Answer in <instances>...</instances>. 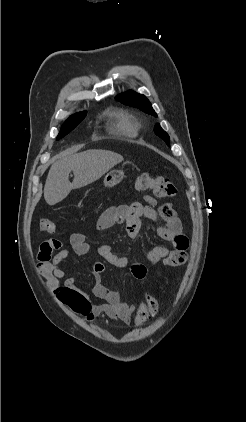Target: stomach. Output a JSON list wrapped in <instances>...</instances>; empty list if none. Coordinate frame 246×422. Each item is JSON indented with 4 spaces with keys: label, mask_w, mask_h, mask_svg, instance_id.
Listing matches in <instances>:
<instances>
[{
    "label": "stomach",
    "mask_w": 246,
    "mask_h": 422,
    "mask_svg": "<svg viewBox=\"0 0 246 422\" xmlns=\"http://www.w3.org/2000/svg\"><path fill=\"white\" fill-rule=\"evenodd\" d=\"M123 178H124L123 171H119V170L111 171L105 176L104 185L109 188L114 187L117 184H119Z\"/></svg>",
    "instance_id": "stomach-1"
}]
</instances>
